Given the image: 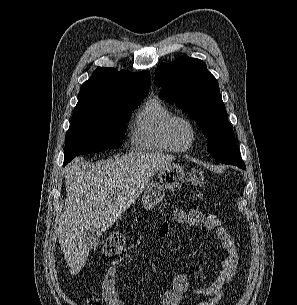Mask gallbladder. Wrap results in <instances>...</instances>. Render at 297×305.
<instances>
[{
    "mask_svg": "<svg viewBox=\"0 0 297 305\" xmlns=\"http://www.w3.org/2000/svg\"><path fill=\"white\" fill-rule=\"evenodd\" d=\"M100 236L96 231L93 230H85L83 233L84 243L88 246L90 250L95 249L99 245Z\"/></svg>",
    "mask_w": 297,
    "mask_h": 305,
    "instance_id": "gallbladder-1",
    "label": "gallbladder"
}]
</instances>
